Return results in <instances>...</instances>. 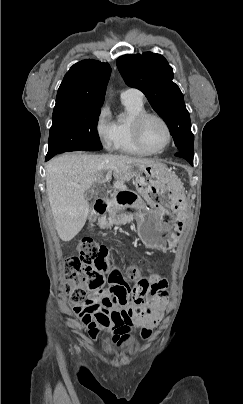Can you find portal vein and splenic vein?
I'll list each match as a JSON object with an SVG mask.
<instances>
[{
  "mask_svg": "<svg viewBox=\"0 0 243 404\" xmlns=\"http://www.w3.org/2000/svg\"><path fill=\"white\" fill-rule=\"evenodd\" d=\"M111 174H112V172H108L107 178H105V180H103V182H108V180H109ZM99 184H102V182H99Z\"/></svg>",
  "mask_w": 243,
  "mask_h": 404,
  "instance_id": "1",
  "label": "portal vein and splenic vein"
}]
</instances>
